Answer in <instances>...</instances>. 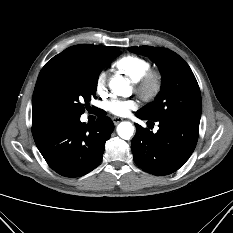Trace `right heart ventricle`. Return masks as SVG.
I'll return each instance as SVG.
<instances>
[{
	"label": "right heart ventricle",
	"mask_w": 233,
	"mask_h": 233,
	"mask_svg": "<svg viewBox=\"0 0 233 233\" xmlns=\"http://www.w3.org/2000/svg\"><path fill=\"white\" fill-rule=\"evenodd\" d=\"M114 68L126 75L132 82H135L147 70L150 69V62L138 55L128 54L117 59Z\"/></svg>",
	"instance_id": "obj_1"
}]
</instances>
